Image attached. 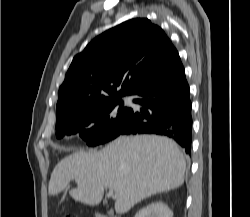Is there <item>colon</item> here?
Listing matches in <instances>:
<instances>
[{"mask_svg": "<svg viewBox=\"0 0 250 217\" xmlns=\"http://www.w3.org/2000/svg\"><path fill=\"white\" fill-rule=\"evenodd\" d=\"M62 217H76L73 213H64Z\"/></svg>", "mask_w": 250, "mask_h": 217, "instance_id": "5ec220e1", "label": "colon"}]
</instances>
